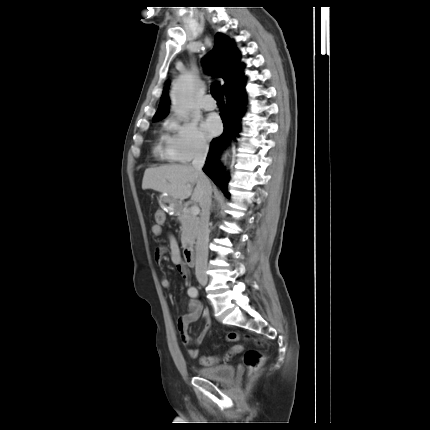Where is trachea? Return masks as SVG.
<instances>
[{"mask_svg": "<svg viewBox=\"0 0 430 430\" xmlns=\"http://www.w3.org/2000/svg\"><path fill=\"white\" fill-rule=\"evenodd\" d=\"M211 94L218 101L224 100L223 91L218 82L211 87Z\"/></svg>", "mask_w": 430, "mask_h": 430, "instance_id": "obj_1", "label": "trachea"}]
</instances>
